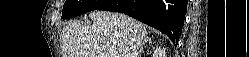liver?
I'll use <instances>...</instances> for the list:
<instances>
[{"label": "liver", "mask_w": 249, "mask_h": 57, "mask_svg": "<svg viewBox=\"0 0 249 57\" xmlns=\"http://www.w3.org/2000/svg\"><path fill=\"white\" fill-rule=\"evenodd\" d=\"M84 26L70 22L61 33L63 57H138L147 41L146 26L123 13L93 11Z\"/></svg>", "instance_id": "6515ba94"}]
</instances>
